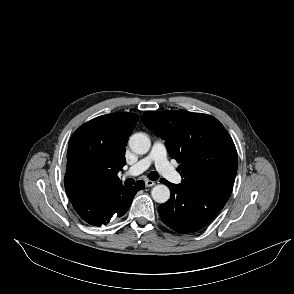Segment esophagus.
<instances>
[{
	"label": "esophagus",
	"mask_w": 294,
	"mask_h": 294,
	"mask_svg": "<svg viewBox=\"0 0 294 294\" xmlns=\"http://www.w3.org/2000/svg\"><path fill=\"white\" fill-rule=\"evenodd\" d=\"M156 183L152 180H145V186L146 187H152L154 186Z\"/></svg>",
	"instance_id": "1"
}]
</instances>
